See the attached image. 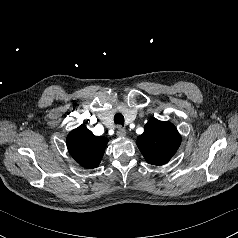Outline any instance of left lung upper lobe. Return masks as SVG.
<instances>
[{
    "label": "left lung upper lobe",
    "instance_id": "1",
    "mask_svg": "<svg viewBox=\"0 0 238 238\" xmlns=\"http://www.w3.org/2000/svg\"><path fill=\"white\" fill-rule=\"evenodd\" d=\"M181 136L170 122L150 119L144 126V133L137 137V146L145 160L152 165L166 164L176 153Z\"/></svg>",
    "mask_w": 238,
    "mask_h": 238
}]
</instances>
